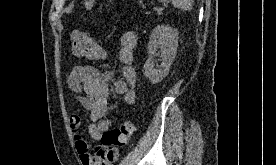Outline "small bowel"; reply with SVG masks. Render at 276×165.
<instances>
[{
  "instance_id": "obj_1",
  "label": "small bowel",
  "mask_w": 276,
  "mask_h": 165,
  "mask_svg": "<svg viewBox=\"0 0 276 165\" xmlns=\"http://www.w3.org/2000/svg\"><path fill=\"white\" fill-rule=\"evenodd\" d=\"M118 58L122 63V79L113 83L114 92L122 95L127 104L136 101L135 84L137 74L133 65L134 50L137 45V36L133 32H125L119 38ZM113 78V72L108 65H77L72 68L67 84L70 90L78 94V102L89 112L91 122L88 125L89 134L97 141L103 133L112 127V120L106 116L108 110L107 98L109 95L108 83ZM75 147L82 165H112L118 156L117 150L98 146L91 152L88 142L83 138L80 126L81 118L72 115L69 120Z\"/></svg>"
}]
</instances>
